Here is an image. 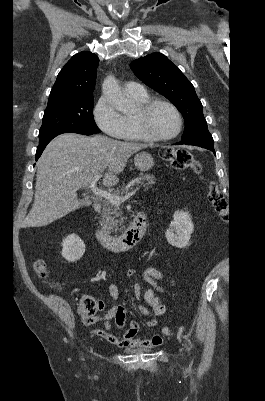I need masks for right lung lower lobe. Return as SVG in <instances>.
I'll return each instance as SVG.
<instances>
[{
	"instance_id": "right-lung-lower-lobe-1",
	"label": "right lung lower lobe",
	"mask_w": 265,
	"mask_h": 401,
	"mask_svg": "<svg viewBox=\"0 0 265 401\" xmlns=\"http://www.w3.org/2000/svg\"><path fill=\"white\" fill-rule=\"evenodd\" d=\"M62 133H66V132H56L52 135H50L49 137H47L44 140L39 141V145L37 147V152H36V160H38V158L41 156L43 150L45 149L46 145L57 135H60Z\"/></svg>"
}]
</instances>
